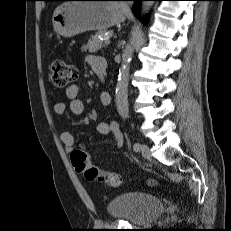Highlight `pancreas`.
<instances>
[{
	"instance_id": "pancreas-1",
	"label": "pancreas",
	"mask_w": 231,
	"mask_h": 231,
	"mask_svg": "<svg viewBox=\"0 0 231 231\" xmlns=\"http://www.w3.org/2000/svg\"><path fill=\"white\" fill-rule=\"evenodd\" d=\"M105 31L97 32L95 35H92L88 40V43L82 47L83 51H89L95 53L104 47L103 41L100 40V36H104Z\"/></svg>"
}]
</instances>
